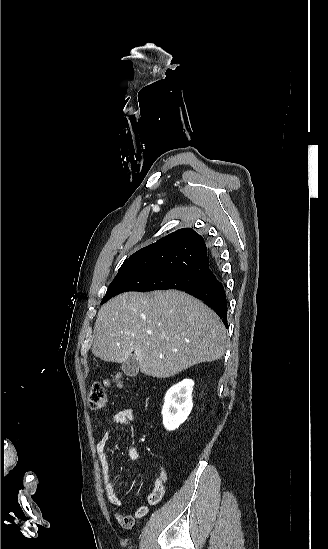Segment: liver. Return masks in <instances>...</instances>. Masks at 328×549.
<instances>
[{"label":"liver","instance_id":"6515ba94","mask_svg":"<svg viewBox=\"0 0 328 549\" xmlns=\"http://www.w3.org/2000/svg\"><path fill=\"white\" fill-rule=\"evenodd\" d=\"M226 339L216 313L187 293H122L101 307L92 353L111 363L135 353L141 373L165 379L221 359Z\"/></svg>","mask_w":328,"mask_h":549}]
</instances>
